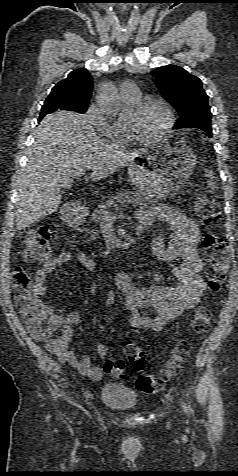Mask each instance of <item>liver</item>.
<instances>
[{
	"label": "liver",
	"instance_id": "obj_1",
	"mask_svg": "<svg viewBox=\"0 0 238 476\" xmlns=\"http://www.w3.org/2000/svg\"><path fill=\"white\" fill-rule=\"evenodd\" d=\"M145 152H124L101 140L82 114L59 111L46 115L35 130V142L21 175L17 230L57 211L61 190L72 186L77 172L90 169V179L107 178Z\"/></svg>",
	"mask_w": 238,
	"mask_h": 476
}]
</instances>
